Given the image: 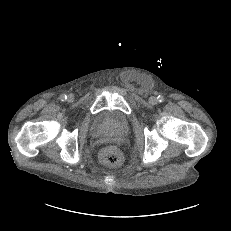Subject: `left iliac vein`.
Returning a JSON list of instances; mask_svg holds the SVG:
<instances>
[{
  "label": "left iliac vein",
  "instance_id": "obj_1",
  "mask_svg": "<svg viewBox=\"0 0 231 231\" xmlns=\"http://www.w3.org/2000/svg\"><path fill=\"white\" fill-rule=\"evenodd\" d=\"M149 102H150V104L155 105L157 103V98L156 97H150Z\"/></svg>",
  "mask_w": 231,
  "mask_h": 231
}]
</instances>
